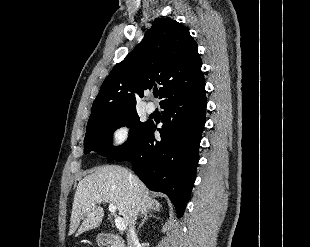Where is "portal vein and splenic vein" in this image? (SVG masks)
Masks as SVG:
<instances>
[{
  "mask_svg": "<svg viewBox=\"0 0 310 247\" xmlns=\"http://www.w3.org/2000/svg\"><path fill=\"white\" fill-rule=\"evenodd\" d=\"M116 209L117 208H116L115 204H113V203L109 204V211H110L111 214H114L116 212ZM115 225H116L117 229H119L121 231L125 230V228H126L125 224H124V221H123V219L121 217H116L115 218Z\"/></svg>",
  "mask_w": 310,
  "mask_h": 247,
  "instance_id": "portal-vein-and-splenic-vein-1",
  "label": "portal vein and splenic vein"
}]
</instances>
